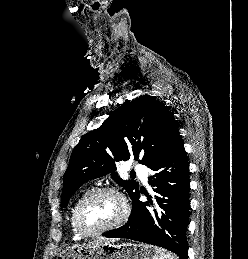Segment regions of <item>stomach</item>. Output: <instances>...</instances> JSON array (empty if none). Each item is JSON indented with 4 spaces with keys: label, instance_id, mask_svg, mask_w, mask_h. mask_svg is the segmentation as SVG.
<instances>
[{
    "label": "stomach",
    "instance_id": "stomach-1",
    "mask_svg": "<svg viewBox=\"0 0 248 259\" xmlns=\"http://www.w3.org/2000/svg\"><path fill=\"white\" fill-rule=\"evenodd\" d=\"M56 259H159L158 248L135 243L72 246Z\"/></svg>",
    "mask_w": 248,
    "mask_h": 259
}]
</instances>
